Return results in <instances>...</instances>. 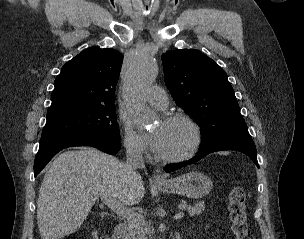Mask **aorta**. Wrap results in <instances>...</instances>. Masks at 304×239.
Here are the masks:
<instances>
[{"label":"aorta","mask_w":304,"mask_h":239,"mask_svg":"<svg viewBox=\"0 0 304 239\" xmlns=\"http://www.w3.org/2000/svg\"><path fill=\"white\" fill-rule=\"evenodd\" d=\"M156 75V61L150 56L142 55L135 59L126 77L124 100L126 107L139 123H148L151 120V112L145 104L144 92L154 82Z\"/></svg>","instance_id":"obj_1"}]
</instances>
